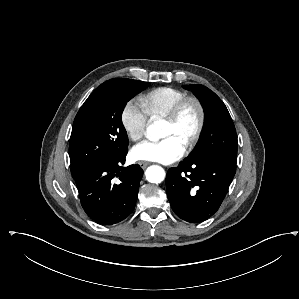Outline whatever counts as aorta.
Segmentation results:
<instances>
[{"mask_svg": "<svg viewBox=\"0 0 299 299\" xmlns=\"http://www.w3.org/2000/svg\"><path fill=\"white\" fill-rule=\"evenodd\" d=\"M147 134L149 139L153 141L162 137V130L158 121L147 127ZM145 176L148 182L158 184L165 179V171L162 167L153 165L147 168Z\"/></svg>", "mask_w": 299, "mask_h": 299, "instance_id": "obj_1", "label": "aorta"}]
</instances>
